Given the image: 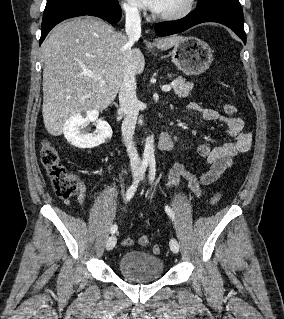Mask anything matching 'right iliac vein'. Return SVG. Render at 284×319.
<instances>
[{
	"instance_id": "63e3f726",
	"label": "right iliac vein",
	"mask_w": 284,
	"mask_h": 319,
	"mask_svg": "<svg viewBox=\"0 0 284 319\" xmlns=\"http://www.w3.org/2000/svg\"><path fill=\"white\" fill-rule=\"evenodd\" d=\"M136 176H137V172L134 173V177ZM116 243H117V237L115 235L110 236L106 242V249L107 250L113 249Z\"/></svg>"
}]
</instances>
